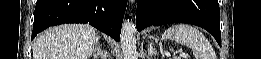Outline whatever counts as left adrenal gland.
I'll return each mask as SVG.
<instances>
[{
    "label": "left adrenal gland",
    "mask_w": 261,
    "mask_h": 59,
    "mask_svg": "<svg viewBox=\"0 0 261 59\" xmlns=\"http://www.w3.org/2000/svg\"><path fill=\"white\" fill-rule=\"evenodd\" d=\"M157 54H158V52L153 47V43L150 42L149 45H148V56L152 57V56H156Z\"/></svg>",
    "instance_id": "1"
}]
</instances>
